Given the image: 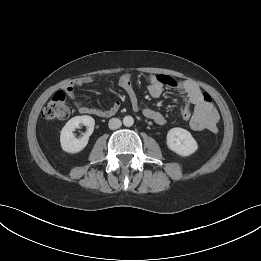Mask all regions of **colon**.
<instances>
[{
    "instance_id": "colon-1",
    "label": "colon",
    "mask_w": 261,
    "mask_h": 261,
    "mask_svg": "<svg viewBox=\"0 0 261 261\" xmlns=\"http://www.w3.org/2000/svg\"><path fill=\"white\" fill-rule=\"evenodd\" d=\"M44 118L46 119H66L70 110L65 101V94L62 91H59L54 94L52 99L45 105L42 112ZM185 119L188 118V115H184Z\"/></svg>"
}]
</instances>
